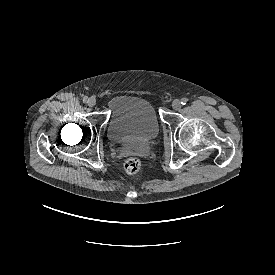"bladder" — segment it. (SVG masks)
Masks as SVG:
<instances>
[{
    "instance_id": "1",
    "label": "bladder",
    "mask_w": 275,
    "mask_h": 275,
    "mask_svg": "<svg viewBox=\"0 0 275 275\" xmlns=\"http://www.w3.org/2000/svg\"><path fill=\"white\" fill-rule=\"evenodd\" d=\"M110 116L107 133L119 144L148 141L159 132V121L153 105L137 96L122 94L108 101Z\"/></svg>"
}]
</instances>
